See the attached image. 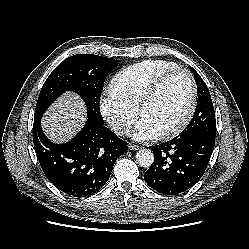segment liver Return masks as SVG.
I'll list each match as a JSON object with an SVG mask.
<instances>
[{
  "instance_id": "liver-1",
  "label": "liver",
  "mask_w": 249,
  "mask_h": 249,
  "mask_svg": "<svg viewBox=\"0 0 249 249\" xmlns=\"http://www.w3.org/2000/svg\"><path fill=\"white\" fill-rule=\"evenodd\" d=\"M85 105L74 93H67L50 107L42 126L48 137L57 143L68 141L85 122Z\"/></svg>"
}]
</instances>
